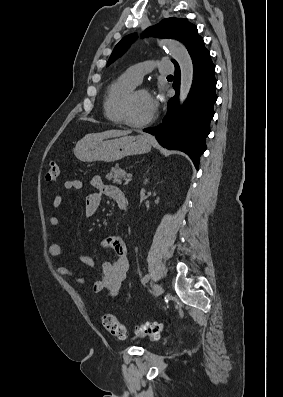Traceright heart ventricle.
<instances>
[{
  "mask_svg": "<svg viewBox=\"0 0 283 397\" xmlns=\"http://www.w3.org/2000/svg\"><path fill=\"white\" fill-rule=\"evenodd\" d=\"M136 85L125 74L119 76L108 85L103 100L104 116L108 121L116 125L123 124L120 113L121 103L127 93L135 88Z\"/></svg>",
  "mask_w": 283,
  "mask_h": 397,
  "instance_id": "1",
  "label": "right heart ventricle"
}]
</instances>
